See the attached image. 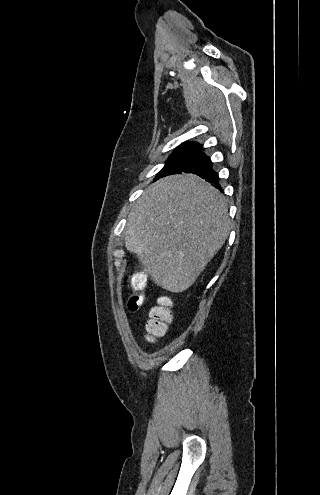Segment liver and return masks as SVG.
Here are the masks:
<instances>
[{"instance_id":"1","label":"liver","mask_w":320,"mask_h":495,"mask_svg":"<svg viewBox=\"0 0 320 495\" xmlns=\"http://www.w3.org/2000/svg\"><path fill=\"white\" fill-rule=\"evenodd\" d=\"M229 223L218 189L195 174H174L150 185L136 202L125 246L157 286L181 293L223 246Z\"/></svg>"}]
</instances>
